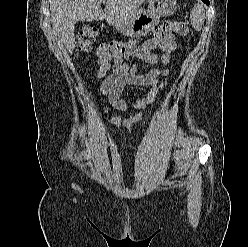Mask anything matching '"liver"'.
Here are the masks:
<instances>
[{
  "instance_id": "liver-1",
  "label": "liver",
  "mask_w": 248,
  "mask_h": 247,
  "mask_svg": "<svg viewBox=\"0 0 248 247\" xmlns=\"http://www.w3.org/2000/svg\"><path fill=\"white\" fill-rule=\"evenodd\" d=\"M146 0H107L104 11L103 0H49L51 23L58 39L70 53L75 47V24L78 21H101L109 25L120 24L140 11Z\"/></svg>"
}]
</instances>
